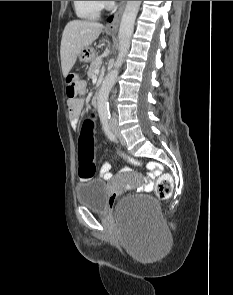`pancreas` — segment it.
Segmentation results:
<instances>
[{
  "instance_id": "obj_1",
  "label": "pancreas",
  "mask_w": 233,
  "mask_h": 295,
  "mask_svg": "<svg viewBox=\"0 0 233 295\" xmlns=\"http://www.w3.org/2000/svg\"><path fill=\"white\" fill-rule=\"evenodd\" d=\"M100 66H101V60L99 58L93 59L88 70V77L89 78L95 77V71L96 69H99Z\"/></svg>"
}]
</instances>
